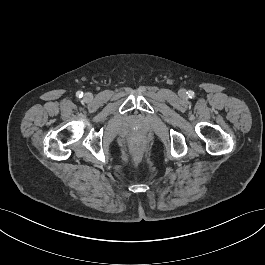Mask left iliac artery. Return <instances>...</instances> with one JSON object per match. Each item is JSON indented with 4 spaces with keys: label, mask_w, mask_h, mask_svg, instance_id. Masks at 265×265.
Here are the masks:
<instances>
[{
    "label": "left iliac artery",
    "mask_w": 265,
    "mask_h": 265,
    "mask_svg": "<svg viewBox=\"0 0 265 265\" xmlns=\"http://www.w3.org/2000/svg\"><path fill=\"white\" fill-rule=\"evenodd\" d=\"M189 95L193 96V95H194V93L190 92V93H189Z\"/></svg>",
    "instance_id": "1"
}]
</instances>
